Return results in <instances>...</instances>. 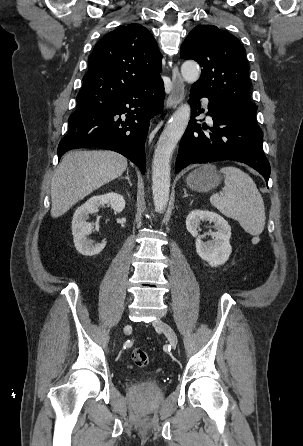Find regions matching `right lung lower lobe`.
<instances>
[{"label":"right lung lower lobe","mask_w":303,"mask_h":446,"mask_svg":"<svg viewBox=\"0 0 303 446\" xmlns=\"http://www.w3.org/2000/svg\"><path fill=\"white\" fill-rule=\"evenodd\" d=\"M163 101L161 80L77 107L68 119L69 131L60 141L58 158L72 149L100 147L124 155L144 174V144L149 121L162 111Z\"/></svg>","instance_id":"98d812e1"}]
</instances>
